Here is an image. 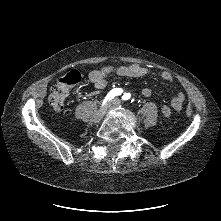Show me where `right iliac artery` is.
<instances>
[{
	"label": "right iliac artery",
	"instance_id": "82829eb1",
	"mask_svg": "<svg viewBox=\"0 0 221 221\" xmlns=\"http://www.w3.org/2000/svg\"><path fill=\"white\" fill-rule=\"evenodd\" d=\"M121 93H122V89H120V88H115V89L111 90L108 93V95L106 96L104 103H106L108 100H111L115 96L120 95Z\"/></svg>",
	"mask_w": 221,
	"mask_h": 221
}]
</instances>
